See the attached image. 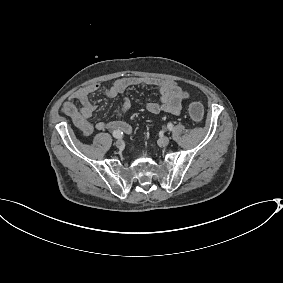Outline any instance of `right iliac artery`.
<instances>
[{"label": "right iliac artery", "mask_w": 283, "mask_h": 283, "mask_svg": "<svg viewBox=\"0 0 283 283\" xmlns=\"http://www.w3.org/2000/svg\"><path fill=\"white\" fill-rule=\"evenodd\" d=\"M112 135L114 138H121L123 136V132H121L120 130H115L113 131Z\"/></svg>", "instance_id": "obj_1"}]
</instances>
